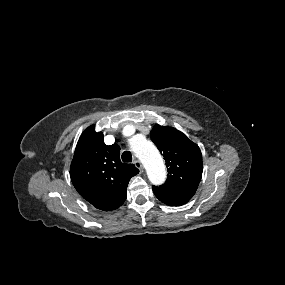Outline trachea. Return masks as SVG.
<instances>
[{"mask_svg":"<svg viewBox=\"0 0 285 285\" xmlns=\"http://www.w3.org/2000/svg\"><path fill=\"white\" fill-rule=\"evenodd\" d=\"M122 161L123 162H131L132 161V154L130 151H125L122 153Z\"/></svg>","mask_w":285,"mask_h":285,"instance_id":"3493384b","label":"trachea"}]
</instances>
